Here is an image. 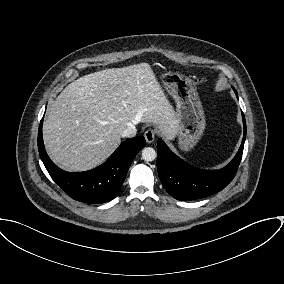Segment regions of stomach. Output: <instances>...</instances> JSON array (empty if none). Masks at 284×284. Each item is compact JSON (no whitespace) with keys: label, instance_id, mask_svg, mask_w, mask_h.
Listing matches in <instances>:
<instances>
[{"label":"stomach","instance_id":"obj_1","mask_svg":"<svg viewBox=\"0 0 284 284\" xmlns=\"http://www.w3.org/2000/svg\"><path fill=\"white\" fill-rule=\"evenodd\" d=\"M161 80L176 103L179 147L183 151H189L201 138L206 127L205 114L195 82L183 74L172 72L162 74Z\"/></svg>","mask_w":284,"mask_h":284}]
</instances>
